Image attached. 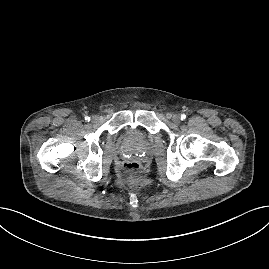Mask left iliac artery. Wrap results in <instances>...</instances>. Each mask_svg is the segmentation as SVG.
<instances>
[{
	"label": "left iliac artery",
	"mask_w": 269,
	"mask_h": 269,
	"mask_svg": "<svg viewBox=\"0 0 269 269\" xmlns=\"http://www.w3.org/2000/svg\"><path fill=\"white\" fill-rule=\"evenodd\" d=\"M186 119V115L185 114H182L181 115V120H185Z\"/></svg>",
	"instance_id": "obj_1"
}]
</instances>
